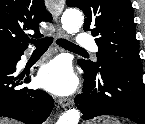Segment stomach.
Masks as SVG:
<instances>
[{"instance_id": "0dacf381", "label": "stomach", "mask_w": 145, "mask_h": 124, "mask_svg": "<svg viewBox=\"0 0 145 124\" xmlns=\"http://www.w3.org/2000/svg\"><path fill=\"white\" fill-rule=\"evenodd\" d=\"M88 124H120V123L113 118L102 117V118L94 121L93 123H88Z\"/></svg>"}]
</instances>
